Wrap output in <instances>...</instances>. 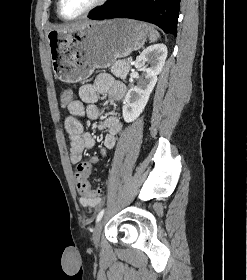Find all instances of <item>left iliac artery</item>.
Listing matches in <instances>:
<instances>
[{
	"label": "left iliac artery",
	"mask_w": 247,
	"mask_h": 280,
	"mask_svg": "<svg viewBox=\"0 0 247 280\" xmlns=\"http://www.w3.org/2000/svg\"><path fill=\"white\" fill-rule=\"evenodd\" d=\"M104 212H105V209H102L98 215H97V218H96V222H99L101 220V218L103 217L104 215Z\"/></svg>",
	"instance_id": "44dca946"
}]
</instances>
